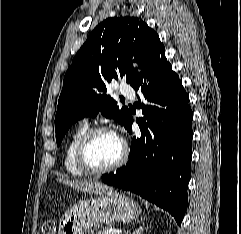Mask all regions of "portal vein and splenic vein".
<instances>
[{"mask_svg":"<svg viewBox=\"0 0 241 234\" xmlns=\"http://www.w3.org/2000/svg\"><path fill=\"white\" fill-rule=\"evenodd\" d=\"M111 233L115 234V231H112V232L111 231H107L105 234H111Z\"/></svg>","mask_w":241,"mask_h":234,"instance_id":"portal-vein-and-splenic-vein-1","label":"portal vein and splenic vein"}]
</instances>
